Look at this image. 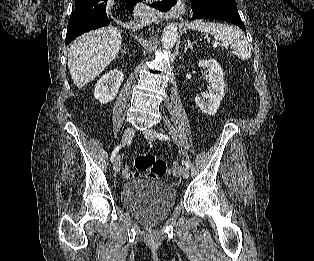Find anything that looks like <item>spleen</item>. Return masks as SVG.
I'll list each match as a JSON object with an SVG mask.
<instances>
[{
	"label": "spleen",
	"mask_w": 314,
	"mask_h": 261,
	"mask_svg": "<svg viewBox=\"0 0 314 261\" xmlns=\"http://www.w3.org/2000/svg\"><path fill=\"white\" fill-rule=\"evenodd\" d=\"M189 28L203 33H210L215 40L229 45L234 50V54L241 60H248L252 56L251 48L245 35L236 27L228 24L195 20L190 23Z\"/></svg>",
	"instance_id": "spleen-1"
}]
</instances>
